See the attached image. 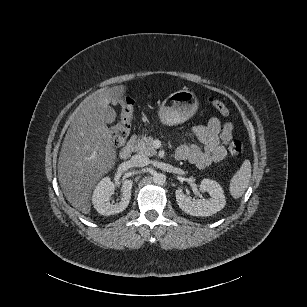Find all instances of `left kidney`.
<instances>
[{
    "label": "left kidney",
    "instance_id": "obj_1",
    "mask_svg": "<svg viewBox=\"0 0 307 307\" xmlns=\"http://www.w3.org/2000/svg\"><path fill=\"white\" fill-rule=\"evenodd\" d=\"M200 189L207 191L211 198L209 200L192 201L191 197L184 194L181 189L176 190L177 203L185 213L192 216H211L224 208L226 200L219 183L214 180L203 179Z\"/></svg>",
    "mask_w": 307,
    "mask_h": 307
}]
</instances>
